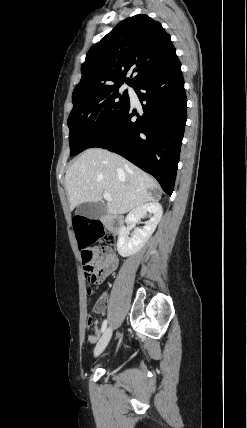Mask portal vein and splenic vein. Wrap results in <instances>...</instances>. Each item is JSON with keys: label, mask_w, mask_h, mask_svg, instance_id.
<instances>
[{"label": "portal vein and splenic vein", "mask_w": 247, "mask_h": 428, "mask_svg": "<svg viewBox=\"0 0 247 428\" xmlns=\"http://www.w3.org/2000/svg\"><path fill=\"white\" fill-rule=\"evenodd\" d=\"M103 197H104V199H105V200H107L108 202H109V201H112V197H111V195H110L109 193H107V192L103 193Z\"/></svg>", "instance_id": "obj_1"}]
</instances>
